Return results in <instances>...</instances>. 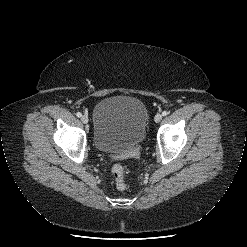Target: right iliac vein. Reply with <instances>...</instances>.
<instances>
[{
    "label": "right iliac vein",
    "mask_w": 247,
    "mask_h": 247,
    "mask_svg": "<svg viewBox=\"0 0 247 247\" xmlns=\"http://www.w3.org/2000/svg\"><path fill=\"white\" fill-rule=\"evenodd\" d=\"M81 121H82L84 124H87L88 121H89L88 116H87V115H83V116L81 117Z\"/></svg>",
    "instance_id": "obj_1"
}]
</instances>
